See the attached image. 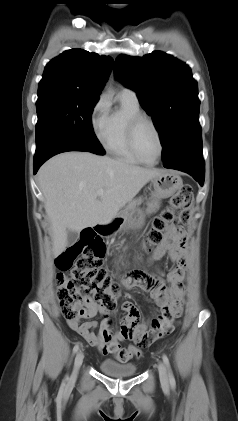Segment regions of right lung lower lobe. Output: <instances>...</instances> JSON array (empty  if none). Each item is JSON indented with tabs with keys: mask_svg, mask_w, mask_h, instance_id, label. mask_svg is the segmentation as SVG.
Listing matches in <instances>:
<instances>
[{
	"mask_svg": "<svg viewBox=\"0 0 238 421\" xmlns=\"http://www.w3.org/2000/svg\"><path fill=\"white\" fill-rule=\"evenodd\" d=\"M67 151H85L90 152L87 148L80 145L73 139L59 132L48 133L40 143L36 144V152L34 156V173L39 167L50 157Z\"/></svg>",
	"mask_w": 238,
	"mask_h": 421,
	"instance_id": "98d812e1",
	"label": "right lung lower lobe"
}]
</instances>
